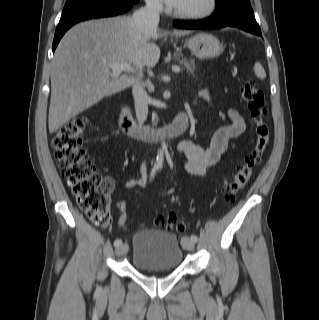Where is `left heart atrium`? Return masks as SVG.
<instances>
[{
    "label": "left heart atrium",
    "instance_id": "left-heart-atrium-1",
    "mask_svg": "<svg viewBox=\"0 0 319 320\" xmlns=\"http://www.w3.org/2000/svg\"><path fill=\"white\" fill-rule=\"evenodd\" d=\"M164 2L171 8L177 9L183 2V0H164Z\"/></svg>",
    "mask_w": 319,
    "mask_h": 320
}]
</instances>
